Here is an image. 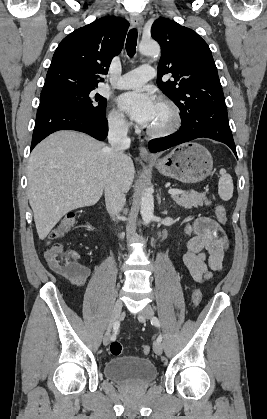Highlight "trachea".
I'll return each instance as SVG.
<instances>
[{
	"instance_id": "1",
	"label": "trachea",
	"mask_w": 267,
	"mask_h": 419,
	"mask_svg": "<svg viewBox=\"0 0 267 419\" xmlns=\"http://www.w3.org/2000/svg\"><path fill=\"white\" fill-rule=\"evenodd\" d=\"M137 45V29H131L126 40V51L128 56L133 57L136 52Z\"/></svg>"
}]
</instances>
